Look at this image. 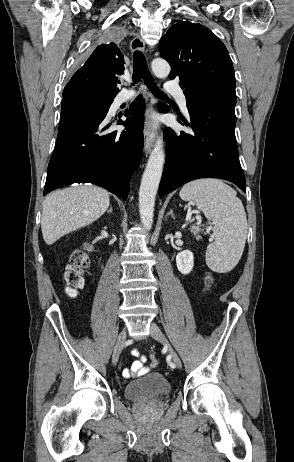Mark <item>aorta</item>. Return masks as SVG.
Masks as SVG:
<instances>
[{
	"label": "aorta",
	"instance_id": "obj_1",
	"mask_svg": "<svg viewBox=\"0 0 294 462\" xmlns=\"http://www.w3.org/2000/svg\"><path fill=\"white\" fill-rule=\"evenodd\" d=\"M152 70L156 77L166 78L170 73V65L164 59H154L151 63ZM165 153L163 141L159 137L149 156L144 170L139 190V212L143 227L150 230L153 224L154 205L156 193L161 180Z\"/></svg>",
	"mask_w": 294,
	"mask_h": 462
}]
</instances>
